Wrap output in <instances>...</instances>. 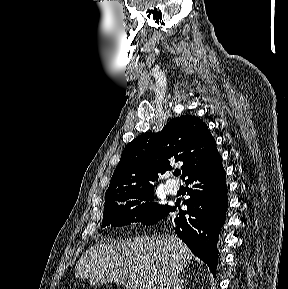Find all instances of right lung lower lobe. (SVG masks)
Returning a JSON list of instances; mask_svg holds the SVG:
<instances>
[{"label": "right lung lower lobe", "mask_w": 288, "mask_h": 289, "mask_svg": "<svg viewBox=\"0 0 288 289\" xmlns=\"http://www.w3.org/2000/svg\"><path fill=\"white\" fill-rule=\"evenodd\" d=\"M226 172L217 152L207 162L191 172L185 180L190 185V198L183 202L187 210H180L179 202L164 212L163 218L176 211L175 232L195 256L203 260L215 274L218 250L217 236L225 222L228 206Z\"/></svg>", "instance_id": "98d812e1"}]
</instances>
